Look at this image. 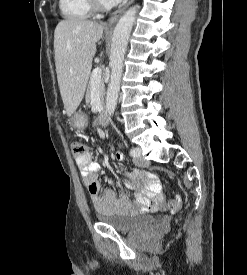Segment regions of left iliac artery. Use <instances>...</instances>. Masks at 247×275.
Returning a JSON list of instances; mask_svg holds the SVG:
<instances>
[{
  "label": "left iliac artery",
  "mask_w": 247,
  "mask_h": 275,
  "mask_svg": "<svg viewBox=\"0 0 247 275\" xmlns=\"http://www.w3.org/2000/svg\"><path fill=\"white\" fill-rule=\"evenodd\" d=\"M130 155L135 157L137 155L136 151L134 149L130 150Z\"/></svg>",
  "instance_id": "obj_1"
}]
</instances>
